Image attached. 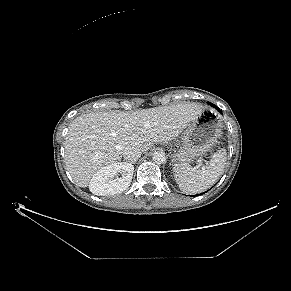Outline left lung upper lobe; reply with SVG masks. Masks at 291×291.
I'll list each match as a JSON object with an SVG mask.
<instances>
[{
  "instance_id": "1",
  "label": "left lung upper lobe",
  "mask_w": 291,
  "mask_h": 291,
  "mask_svg": "<svg viewBox=\"0 0 291 291\" xmlns=\"http://www.w3.org/2000/svg\"><path fill=\"white\" fill-rule=\"evenodd\" d=\"M209 104H210L211 106L214 105V104H212V103H209Z\"/></svg>"
}]
</instances>
